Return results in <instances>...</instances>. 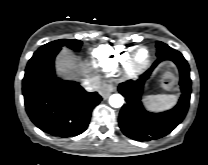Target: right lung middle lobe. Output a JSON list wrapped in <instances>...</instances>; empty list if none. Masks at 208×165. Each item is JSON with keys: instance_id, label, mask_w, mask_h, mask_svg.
I'll list each match as a JSON object with an SVG mask.
<instances>
[{"instance_id": "dd1d6c3e", "label": "right lung middle lobe", "mask_w": 208, "mask_h": 165, "mask_svg": "<svg viewBox=\"0 0 208 165\" xmlns=\"http://www.w3.org/2000/svg\"><path fill=\"white\" fill-rule=\"evenodd\" d=\"M82 45V42L79 40H75V39H62V40H56L53 42H49L43 46H41L35 53L33 56H37L40 55L46 51L52 50L54 48H61L63 46H67L70 49L76 50L78 51L80 49Z\"/></svg>"}]
</instances>
